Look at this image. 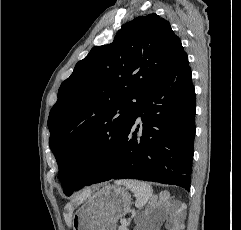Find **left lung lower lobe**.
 I'll list each match as a JSON object with an SVG mask.
<instances>
[{"mask_svg": "<svg viewBox=\"0 0 241 230\" xmlns=\"http://www.w3.org/2000/svg\"><path fill=\"white\" fill-rule=\"evenodd\" d=\"M195 112L191 69L183 53L147 91L121 137L115 142L100 139L76 160L70 181L74 190L131 178L190 191ZM138 116L143 124L136 127Z\"/></svg>", "mask_w": 241, "mask_h": 230, "instance_id": "obj_1", "label": "left lung lower lobe"}]
</instances>
